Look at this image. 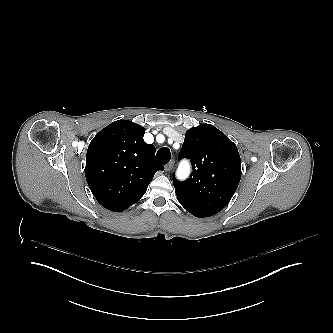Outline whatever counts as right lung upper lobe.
Returning <instances> with one entry per match:
<instances>
[{"label": "right lung upper lobe", "instance_id": "1", "mask_svg": "<svg viewBox=\"0 0 333 333\" xmlns=\"http://www.w3.org/2000/svg\"><path fill=\"white\" fill-rule=\"evenodd\" d=\"M145 129L118 120L102 129L90 142L85 176L97 201L117 211L132 196L146 192L156 171L164 166L155 158V147L143 140Z\"/></svg>", "mask_w": 333, "mask_h": 333}]
</instances>
